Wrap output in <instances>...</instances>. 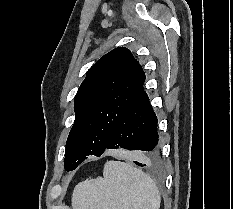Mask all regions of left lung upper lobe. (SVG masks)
Here are the masks:
<instances>
[{"mask_svg":"<svg viewBox=\"0 0 233 209\" xmlns=\"http://www.w3.org/2000/svg\"><path fill=\"white\" fill-rule=\"evenodd\" d=\"M145 74L130 50L118 47L87 72L75 96V121L69 133L64 166L74 170L90 155L100 156L110 134L139 92Z\"/></svg>","mask_w":233,"mask_h":209,"instance_id":"left-lung-upper-lobe-1","label":"left lung upper lobe"}]
</instances>
